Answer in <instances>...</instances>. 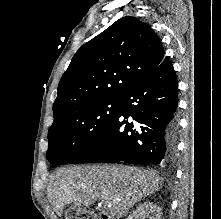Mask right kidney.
Listing matches in <instances>:
<instances>
[{
  "label": "right kidney",
  "mask_w": 221,
  "mask_h": 219,
  "mask_svg": "<svg viewBox=\"0 0 221 219\" xmlns=\"http://www.w3.org/2000/svg\"><path fill=\"white\" fill-rule=\"evenodd\" d=\"M127 219H161V209L153 202H144Z\"/></svg>",
  "instance_id": "right-kidney-1"
}]
</instances>
